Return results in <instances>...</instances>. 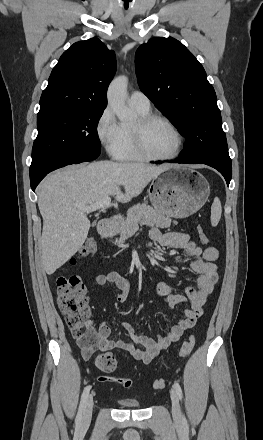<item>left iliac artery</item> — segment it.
I'll use <instances>...</instances> for the list:
<instances>
[{
  "label": "left iliac artery",
  "mask_w": 263,
  "mask_h": 440,
  "mask_svg": "<svg viewBox=\"0 0 263 440\" xmlns=\"http://www.w3.org/2000/svg\"><path fill=\"white\" fill-rule=\"evenodd\" d=\"M174 388H175L176 393L179 396V398L182 399V397H183L182 389H181V386L179 385V383L177 381L174 382ZM183 422L186 423L185 417H183Z\"/></svg>",
  "instance_id": "left-iliac-artery-1"
}]
</instances>
